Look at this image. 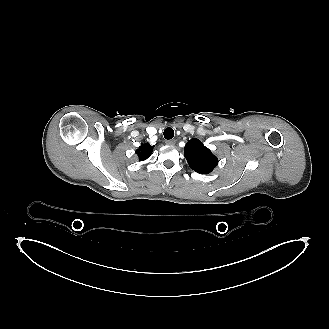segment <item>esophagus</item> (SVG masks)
<instances>
[{
	"instance_id": "obj_1",
	"label": "esophagus",
	"mask_w": 329,
	"mask_h": 329,
	"mask_svg": "<svg viewBox=\"0 0 329 329\" xmlns=\"http://www.w3.org/2000/svg\"><path fill=\"white\" fill-rule=\"evenodd\" d=\"M175 143H176V141L173 140V139L166 141V144L169 145V146H173V145H175Z\"/></svg>"
}]
</instances>
